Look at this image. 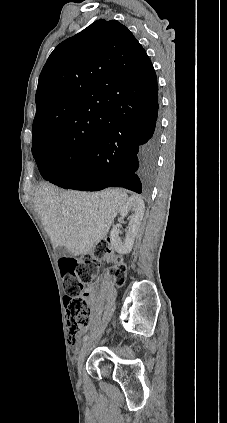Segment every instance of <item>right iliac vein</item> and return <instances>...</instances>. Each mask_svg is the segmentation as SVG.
<instances>
[{"mask_svg": "<svg viewBox=\"0 0 227 423\" xmlns=\"http://www.w3.org/2000/svg\"><path fill=\"white\" fill-rule=\"evenodd\" d=\"M92 342L93 341L86 342L83 345L82 349H81V352H80L79 357H78V363H77V369H78V372L79 373L82 370V366H83L84 360H85V358H86V356H87V354L89 352V348L91 347Z\"/></svg>", "mask_w": 227, "mask_h": 423, "instance_id": "63e3f726", "label": "right iliac vein"}]
</instances>
